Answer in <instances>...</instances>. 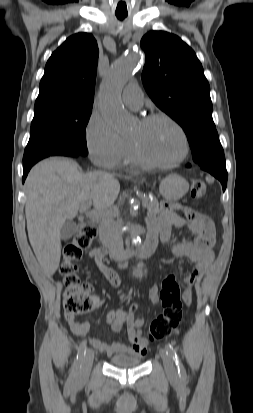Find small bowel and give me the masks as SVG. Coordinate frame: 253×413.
I'll list each match as a JSON object with an SVG mask.
<instances>
[{
	"label": "small bowel",
	"instance_id": "1",
	"mask_svg": "<svg viewBox=\"0 0 253 413\" xmlns=\"http://www.w3.org/2000/svg\"><path fill=\"white\" fill-rule=\"evenodd\" d=\"M180 213H179V212ZM149 232L155 233L161 240L166 250L175 258H187L195 265L189 271L183 283L186 285L183 291V303L185 308L191 307L192 291L190 285L206 270L214 260L215 228L212 221L204 214L181 204L164 202L158 215L151 214L147 220ZM186 228L192 234V241H175L172 239V228ZM89 256L96 262L97 267L114 286L121 284L120 275L105 264L104 257L99 248L89 252ZM148 299L152 304L159 302V289L152 286L148 292ZM137 306L131 305L127 311L117 309L107 315V322L116 332L126 325V334L131 343L127 346L118 341L106 343L100 339H91V345L108 356L117 354H133L143 356L146 354L148 341L141 335L142 321L135 317ZM66 321L72 332L79 338L85 339L90 325L87 321H78L75 316L65 313ZM85 341V340H84Z\"/></svg>",
	"mask_w": 253,
	"mask_h": 413
}]
</instances>
